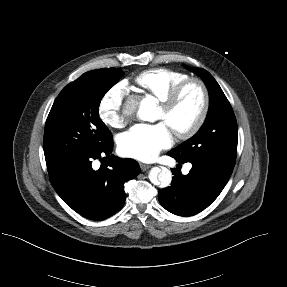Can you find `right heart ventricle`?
<instances>
[{
    "instance_id": "obj_1",
    "label": "right heart ventricle",
    "mask_w": 287,
    "mask_h": 287,
    "mask_svg": "<svg viewBox=\"0 0 287 287\" xmlns=\"http://www.w3.org/2000/svg\"><path fill=\"white\" fill-rule=\"evenodd\" d=\"M187 78L188 75L184 72L158 68L140 73L134 81L143 92L162 102L175 86Z\"/></svg>"
}]
</instances>
